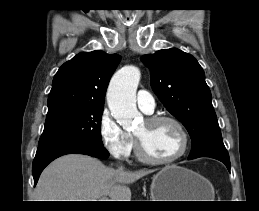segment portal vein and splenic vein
I'll use <instances>...</instances> for the list:
<instances>
[{"label":"portal vein and splenic vein","mask_w":259,"mask_h":211,"mask_svg":"<svg viewBox=\"0 0 259 211\" xmlns=\"http://www.w3.org/2000/svg\"><path fill=\"white\" fill-rule=\"evenodd\" d=\"M98 201H111V199H108L106 197H102L101 199H98Z\"/></svg>","instance_id":"portal-vein-and-splenic-vein-1"}]
</instances>
